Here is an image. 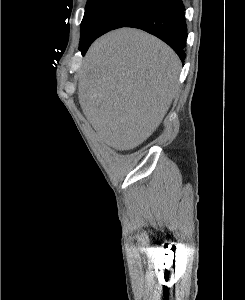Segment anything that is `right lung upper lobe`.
Here are the masks:
<instances>
[{
	"instance_id": "cb5924a9",
	"label": "right lung upper lobe",
	"mask_w": 245,
	"mask_h": 300,
	"mask_svg": "<svg viewBox=\"0 0 245 300\" xmlns=\"http://www.w3.org/2000/svg\"><path fill=\"white\" fill-rule=\"evenodd\" d=\"M156 1H158V2H162V1H165V0H156Z\"/></svg>"
}]
</instances>
